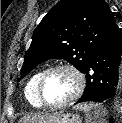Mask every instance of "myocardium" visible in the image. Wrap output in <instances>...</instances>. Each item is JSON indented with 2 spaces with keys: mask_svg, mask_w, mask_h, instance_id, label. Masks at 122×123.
Segmentation results:
<instances>
[{
  "mask_svg": "<svg viewBox=\"0 0 122 123\" xmlns=\"http://www.w3.org/2000/svg\"><path fill=\"white\" fill-rule=\"evenodd\" d=\"M58 70H67V71L71 72L76 79V87H75V90L72 93V95L69 96L64 101L59 102V103H50V102L46 101V99L44 98L43 88H44V84H45L47 77L52 72L58 71ZM85 84H86L85 76L82 73V71L80 69H78L76 66H74L72 64H68V63L54 65V66L46 69L40 77V80H39L38 86H37L38 99L42 103V105L45 107L62 108V107H65V106L71 104L72 102H74L81 96V94L83 93V91L85 89Z\"/></svg>",
  "mask_w": 122,
  "mask_h": 123,
  "instance_id": "obj_1",
  "label": "myocardium"
}]
</instances>
